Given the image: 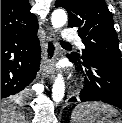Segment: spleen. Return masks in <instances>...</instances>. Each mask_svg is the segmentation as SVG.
<instances>
[{
	"instance_id": "spleen-1",
	"label": "spleen",
	"mask_w": 122,
	"mask_h": 123,
	"mask_svg": "<svg viewBox=\"0 0 122 123\" xmlns=\"http://www.w3.org/2000/svg\"><path fill=\"white\" fill-rule=\"evenodd\" d=\"M119 116V112L110 105L87 102L76 106L71 115V123H113V120H119Z\"/></svg>"
}]
</instances>
